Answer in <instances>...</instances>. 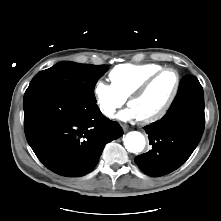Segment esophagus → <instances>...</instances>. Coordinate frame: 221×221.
Returning <instances> with one entry per match:
<instances>
[{"label": "esophagus", "instance_id": "obj_1", "mask_svg": "<svg viewBox=\"0 0 221 221\" xmlns=\"http://www.w3.org/2000/svg\"><path fill=\"white\" fill-rule=\"evenodd\" d=\"M122 129L124 130V132L128 131V126L126 124H122Z\"/></svg>", "mask_w": 221, "mask_h": 221}]
</instances>
